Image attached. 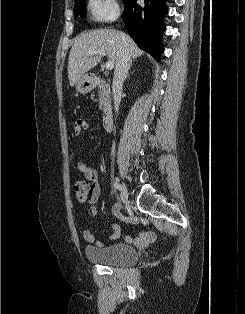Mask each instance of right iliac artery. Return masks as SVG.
I'll return each mask as SVG.
<instances>
[{
	"label": "right iliac artery",
	"mask_w": 245,
	"mask_h": 314,
	"mask_svg": "<svg viewBox=\"0 0 245 314\" xmlns=\"http://www.w3.org/2000/svg\"><path fill=\"white\" fill-rule=\"evenodd\" d=\"M114 187L116 188V189H118L119 191H121V185L120 184H118V183H114Z\"/></svg>",
	"instance_id": "82829eb1"
}]
</instances>
